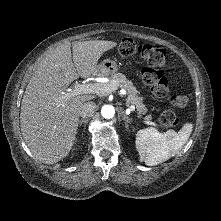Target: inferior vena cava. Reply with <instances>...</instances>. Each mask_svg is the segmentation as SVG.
I'll list each match as a JSON object with an SVG mask.
<instances>
[{
  "label": "inferior vena cava",
  "instance_id": "602c4592",
  "mask_svg": "<svg viewBox=\"0 0 221 221\" xmlns=\"http://www.w3.org/2000/svg\"><path fill=\"white\" fill-rule=\"evenodd\" d=\"M96 110V104L93 101L85 102L79 111V115L83 118L90 117Z\"/></svg>",
  "mask_w": 221,
  "mask_h": 221
}]
</instances>
